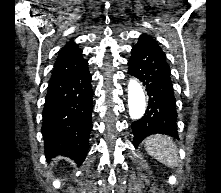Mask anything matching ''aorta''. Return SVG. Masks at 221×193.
Listing matches in <instances>:
<instances>
[{
	"instance_id": "1",
	"label": "aorta",
	"mask_w": 221,
	"mask_h": 193,
	"mask_svg": "<svg viewBox=\"0 0 221 193\" xmlns=\"http://www.w3.org/2000/svg\"><path fill=\"white\" fill-rule=\"evenodd\" d=\"M129 115L132 119L141 118L146 109L145 94L137 80L131 79L128 84Z\"/></svg>"
}]
</instances>
